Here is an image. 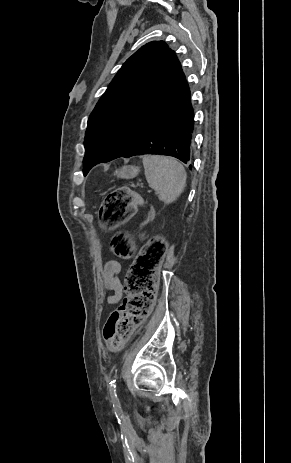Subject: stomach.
<instances>
[{
  "label": "stomach",
  "mask_w": 291,
  "mask_h": 463,
  "mask_svg": "<svg viewBox=\"0 0 291 463\" xmlns=\"http://www.w3.org/2000/svg\"><path fill=\"white\" fill-rule=\"evenodd\" d=\"M140 169L135 166H124L115 171L114 175L120 178L131 179L138 175Z\"/></svg>",
  "instance_id": "0dacf381"
}]
</instances>
